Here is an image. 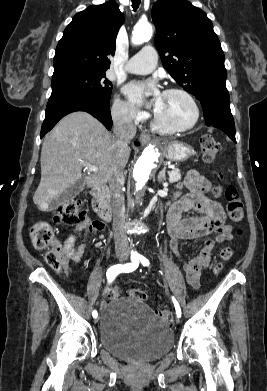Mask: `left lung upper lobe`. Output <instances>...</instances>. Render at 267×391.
Instances as JSON below:
<instances>
[{"label":"left lung upper lobe","mask_w":267,"mask_h":391,"mask_svg":"<svg viewBox=\"0 0 267 391\" xmlns=\"http://www.w3.org/2000/svg\"><path fill=\"white\" fill-rule=\"evenodd\" d=\"M152 19L155 46L175 81L199 100L229 96L224 54L205 12L186 0H158Z\"/></svg>","instance_id":"5c2ea615"}]
</instances>
